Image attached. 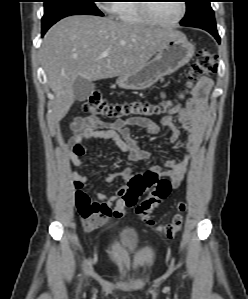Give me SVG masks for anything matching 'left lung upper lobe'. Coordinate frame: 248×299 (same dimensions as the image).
Masks as SVG:
<instances>
[{"label":"left lung upper lobe","mask_w":248,"mask_h":299,"mask_svg":"<svg viewBox=\"0 0 248 299\" xmlns=\"http://www.w3.org/2000/svg\"><path fill=\"white\" fill-rule=\"evenodd\" d=\"M211 0H186V14L181 20L182 26L197 28L216 27Z\"/></svg>","instance_id":"left-lung-upper-lobe-1"}]
</instances>
